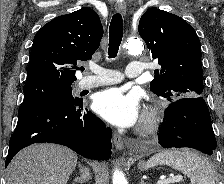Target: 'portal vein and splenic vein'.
<instances>
[{"label": "portal vein and splenic vein", "instance_id": "portal-vein-and-splenic-vein-1", "mask_svg": "<svg viewBox=\"0 0 224 184\" xmlns=\"http://www.w3.org/2000/svg\"><path fill=\"white\" fill-rule=\"evenodd\" d=\"M183 180V177L181 175L173 176L167 179H162L157 181V184H172L177 183Z\"/></svg>", "mask_w": 224, "mask_h": 184}]
</instances>
